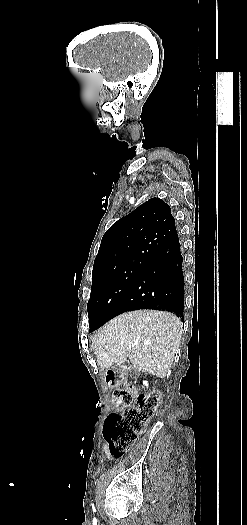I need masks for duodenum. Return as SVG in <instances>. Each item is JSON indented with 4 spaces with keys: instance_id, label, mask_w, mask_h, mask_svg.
I'll use <instances>...</instances> for the list:
<instances>
[{
    "instance_id": "410a0bca",
    "label": "duodenum",
    "mask_w": 247,
    "mask_h": 525,
    "mask_svg": "<svg viewBox=\"0 0 247 525\" xmlns=\"http://www.w3.org/2000/svg\"><path fill=\"white\" fill-rule=\"evenodd\" d=\"M121 375L122 372L119 369L109 370L106 375V382L109 385H115L116 383H118Z\"/></svg>"
}]
</instances>
